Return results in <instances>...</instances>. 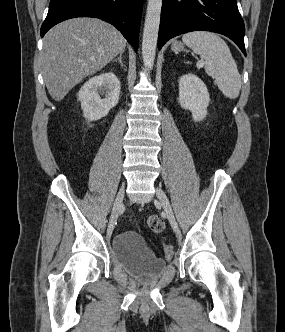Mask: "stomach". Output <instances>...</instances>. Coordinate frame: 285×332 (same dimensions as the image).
<instances>
[{"label":"stomach","mask_w":285,"mask_h":332,"mask_svg":"<svg viewBox=\"0 0 285 332\" xmlns=\"http://www.w3.org/2000/svg\"><path fill=\"white\" fill-rule=\"evenodd\" d=\"M171 48L173 51H181V50H183V44L179 41H175V42H173Z\"/></svg>","instance_id":"1"}]
</instances>
